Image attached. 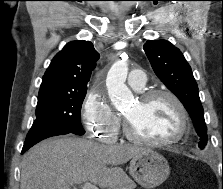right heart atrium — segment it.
<instances>
[{"label": "right heart atrium", "instance_id": "right-heart-atrium-1", "mask_svg": "<svg viewBox=\"0 0 223 189\" xmlns=\"http://www.w3.org/2000/svg\"><path fill=\"white\" fill-rule=\"evenodd\" d=\"M81 115L86 129L95 138L114 142L121 120L103 94L90 91L83 101Z\"/></svg>", "mask_w": 223, "mask_h": 189}]
</instances>
